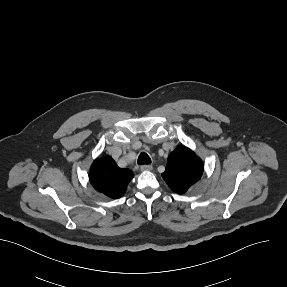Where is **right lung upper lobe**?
<instances>
[{"label":"right lung upper lobe","instance_id":"obj_1","mask_svg":"<svg viewBox=\"0 0 287 287\" xmlns=\"http://www.w3.org/2000/svg\"><path fill=\"white\" fill-rule=\"evenodd\" d=\"M133 176L131 170L119 168L110 156L96 159L89 172L92 186L110 198L123 196Z\"/></svg>","mask_w":287,"mask_h":287}]
</instances>
